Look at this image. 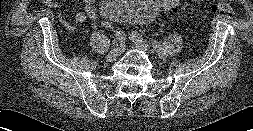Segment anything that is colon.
Listing matches in <instances>:
<instances>
[{"label": "colon", "mask_w": 253, "mask_h": 131, "mask_svg": "<svg viewBox=\"0 0 253 131\" xmlns=\"http://www.w3.org/2000/svg\"><path fill=\"white\" fill-rule=\"evenodd\" d=\"M181 0H162V6L165 11H175L178 6L180 5ZM214 12H222L226 14H233L234 9L230 2L226 0H219L214 6L212 7ZM102 26L108 31H114L113 22L110 20L104 19L102 20Z\"/></svg>", "instance_id": "5ec220e1"}]
</instances>
